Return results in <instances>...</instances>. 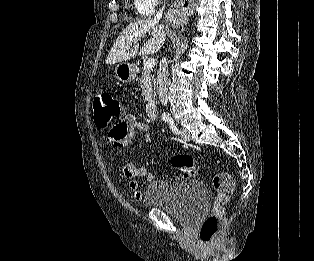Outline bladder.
Segmentation results:
<instances>
[{"instance_id":"1","label":"bladder","mask_w":314,"mask_h":261,"mask_svg":"<svg viewBox=\"0 0 314 261\" xmlns=\"http://www.w3.org/2000/svg\"><path fill=\"white\" fill-rule=\"evenodd\" d=\"M145 203L192 226L209 204L207 187L197 180H160L152 182L145 193Z\"/></svg>"}]
</instances>
